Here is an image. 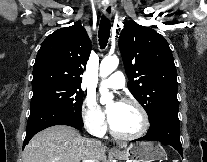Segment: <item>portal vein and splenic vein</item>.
Wrapping results in <instances>:
<instances>
[{
    "mask_svg": "<svg viewBox=\"0 0 207 162\" xmlns=\"http://www.w3.org/2000/svg\"><path fill=\"white\" fill-rule=\"evenodd\" d=\"M83 162H91L90 160H85V161H83Z\"/></svg>",
    "mask_w": 207,
    "mask_h": 162,
    "instance_id": "1",
    "label": "portal vein and splenic vein"
}]
</instances>
